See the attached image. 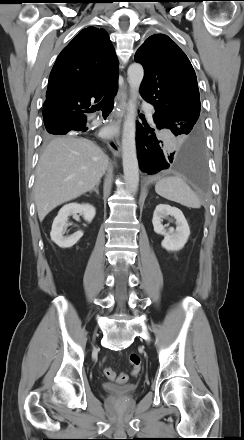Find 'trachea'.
Masks as SVG:
<instances>
[{
	"label": "trachea",
	"mask_w": 244,
	"mask_h": 440,
	"mask_svg": "<svg viewBox=\"0 0 244 440\" xmlns=\"http://www.w3.org/2000/svg\"><path fill=\"white\" fill-rule=\"evenodd\" d=\"M113 109V102L110 98L105 97L97 105L91 107L89 112H94L96 110H101L102 113H110Z\"/></svg>",
	"instance_id": "3493384b"
}]
</instances>
